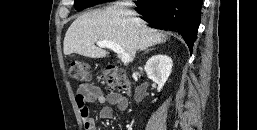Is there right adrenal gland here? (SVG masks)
Segmentation results:
<instances>
[{
  "instance_id": "right-adrenal-gland-1",
  "label": "right adrenal gland",
  "mask_w": 257,
  "mask_h": 130,
  "mask_svg": "<svg viewBox=\"0 0 257 130\" xmlns=\"http://www.w3.org/2000/svg\"><path fill=\"white\" fill-rule=\"evenodd\" d=\"M152 50H154V48L149 49V50H146V51L144 52V54H146V53H148L149 51H152Z\"/></svg>"
}]
</instances>
